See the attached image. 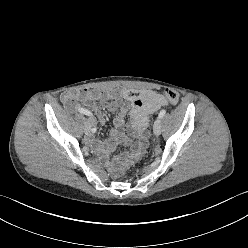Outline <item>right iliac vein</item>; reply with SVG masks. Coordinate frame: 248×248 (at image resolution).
Listing matches in <instances>:
<instances>
[{
  "label": "right iliac vein",
  "mask_w": 248,
  "mask_h": 248,
  "mask_svg": "<svg viewBox=\"0 0 248 248\" xmlns=\"http://www.w3.org/2000/svg\"><path fill=\"white\" fill-rule=\"evenodd\" d=\"M84 132H85L86 135H88V134L90 133V125H89V122H86V123H85Z\"/></svg>",
  "instance_id": "obj_1"
}]
</instances>
